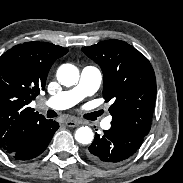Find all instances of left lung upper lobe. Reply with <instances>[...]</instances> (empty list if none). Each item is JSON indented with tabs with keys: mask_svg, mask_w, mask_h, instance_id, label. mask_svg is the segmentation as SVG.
Here are the masks:
<instances>
[{
	"mask_svg": "<svg viewBox=\"0 0 183 183\" xmlns=\"http://www.w3.org/2000/svg\"><path fill=\"white\" fill-rule=\"evenodd\" d=\"M82 50L103 71V98L112 102L111 124L146 136L156 97V78L148 59L121 40L103 41Z\"/></svg>",
	"mask_w": 183,
	"mask_h": 183,
	"instance_id": "left-lung-upper-lobe-1",
	"label": "left lung upper lobe"
}]
</instances>
